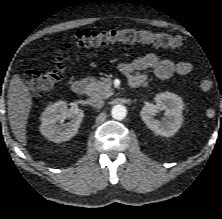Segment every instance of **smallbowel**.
Instances as JSON below:
<instances>
[{"instance_id": "1", "label": "small bowel", "mask_w": 222, "mask_h": 219, "mask_svg": "<svg viewBox=\"0 0 222 219\" xmlns=\"http://www.w3.org/2000/svg\"><path fill=\"white\" fill-rule=\"evenodd\" d=\"M118 69L127 77L130 85H141L145 80V76L141 72L148 69H152L159 79H168L175 74H189L193 65L188 61L174 62L163 59L155 53H148L133 61L120 63Z\"/></svg>"}]
</instances>
